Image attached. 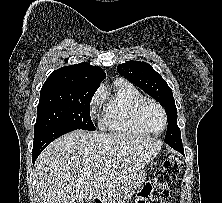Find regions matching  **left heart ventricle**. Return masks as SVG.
<instances>
[{
  "label": "left heart ventricle",
  "instance_id": "1",
  "mask_svg": "<svg viewBox=\"0 0 222 203\" xmlns=\"http://www.w3.org/2000/svg\"><path fill=\"white\" fill-rule=\"evenodd\" d=\"M144 121L147 127L158 132L163 128L164 119L160 110L154 105H148L144 110Z\"/></svg>",
  "mask_w": 222,
  "mask_h": 203
}]
</instances>
